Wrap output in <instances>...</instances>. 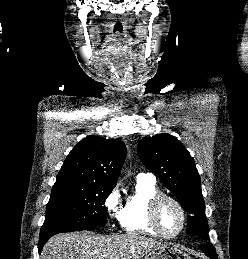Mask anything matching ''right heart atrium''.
Wrapping results in <instances>:
<instances>
[{
  "label": "right heart atrium",
  "instance_id": "obj_1",
  "mask_svg": "<svg viewBox=\"0 0 248 259\" xmlns=\"http://www.w3.org/2000/svg\"><path fill=\"white\" fill-rule=\"evenodd\" d=\"M105 206L109 214L116 220L121 219V201L118 187H115L107 196Z\"/></svg>",
  "mask_w": 248,
  "mask_h": 259
}]
</instances>
